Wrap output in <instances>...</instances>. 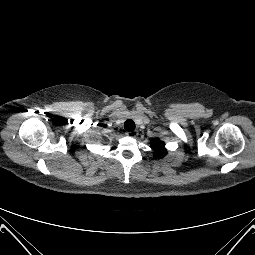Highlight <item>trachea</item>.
I'll return each instance as SVG.
<instances>
[{"label": "trachea", "mask_w": 255, "mask_h": 255, "mask_svg": "<svg viewBox=\"0 0 255 255\" xmlns=\"http://www.w3.org/2000/svg\"><path fill=\"white\" fill-rule=\"evenodd\" d=\"M124 128L127 131H134L135 130V123H134V121L131 120V119L126 120L125 123H124Z\"/></svg>", "instance_id": "1"}]
</instances>
